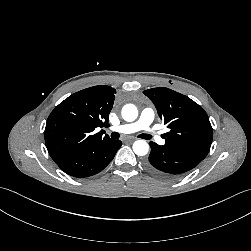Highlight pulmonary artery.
I'll return each mask as SVG.
<instances>
[{"mask_svg": "<svg viewBox=\"0 0 251 251\" xmlns=\"http://www.w3.org/2000/svg\"><path fill=\"white\" fill-rule=\"evenodd\" d=\"M155 114L152 108H144L139 118L131 123L122 124L118 127L113 128V131L129 134L137 131H144L146 134L150 135L152 139L157 141L160 144L164 143V140L160 137L159 133L153 128L152 123L154 120Z\"/></svg>", "mask_w": 251, "mask_h": 251, "instance_id": "1", "label": "pulmonary artery"}]
</instances>
